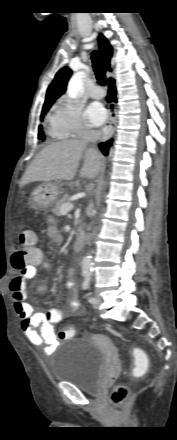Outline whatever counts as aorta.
<instances>
[{
    "instance_id": "obj_1",
    "label": "aorta",
    "mask_w": 177,
    "mask_h": 440,
    "mask_svg": "<svg viewBox=\"0 0 177 440\" xmlns=\"http://www.w3.org/2000/svg\"><path fill=\"white\" fill-rule=\"evenodd\" d=\"M84 72L75 73L67 86V95L71 98H77L83 91V78ZM92 271V257L90 254L84 256L82 260V272L86 275H90Z\"/></svg>"
}]
</instances>
